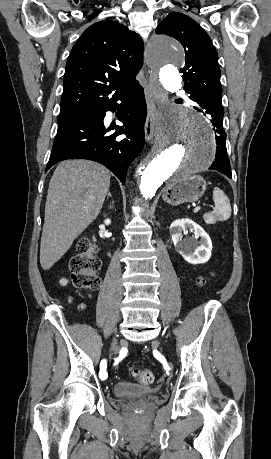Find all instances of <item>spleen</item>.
I'll list each match as a JSON object with an SVG mask.
<instances>
[{
  "instance_id": "1",
  "label": "spleen",
  "mask_w": 271,
  "mask_h": 459,
  "mask_svg": "<svg viewBox=\"0 0 271 459\" xmlns=\"http://www.w3.org/2000/svg\"><path fill=\"white\" fill-rule=\"evenodd\" d=\"M213 200L215 208L211 216H207V224H215V222H223V220H228L232 212L229 198L225 196L222 190H219V188H214Z\"/></svg>"
}]
</instances>
